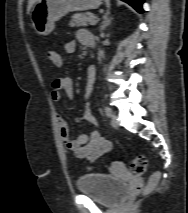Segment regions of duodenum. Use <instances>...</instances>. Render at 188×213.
I'll return each mask as SVG.
<instances>
[{"label":"duodenum","mask_w":188,"mask_h":213,"mask_svg":"<svg viewBox=\"0 0 188 213\" xmlns=\"http://www.w3.org/2000/svg\"><path fill=\"white\" fill-rule=\"evenodd\" d=\"M94 45V42L92 43V45L91 46H93ZM90 77H91V80L93 81L94 80V78H95V73H90Z\"/></svg>","instance_id":"410a0bca"}]
</instances>
